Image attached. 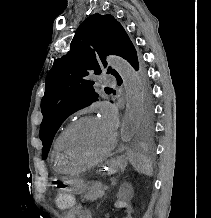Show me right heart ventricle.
I'll return each instance as SVG.
<instances>
[{
  "mask_svg": "<svg viewBox=\"0 0 211 218\" xmlns=\"http://www.w3.org/2000/svg\"><path fill=\"white\" fill-rule=\"evenodd\" d=\"M68 126L69 123L64 124L61 127V129L58 131L57 136L55 138L53 144V156L56 160H49V165H51V169H65V164H60V160H57V158H58V151L61 144L62 135Z\"/></svg>",
  "mask_w": 211,
  "mask_h": 218,
  "instance_id": "1",
  "label": "right heart ventricle"
}]
</instances>
